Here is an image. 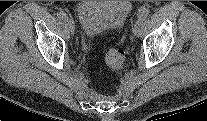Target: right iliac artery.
Wrapping results in <instances>:
<instances>
[{
  "instance_id": "right-iliac-artery-1",
  "label": "right iliac artery",
  "mask_w": 207,
  "mask_h": 121,
  "mask_svg": "<svg viewBox=\"0 0 207 121\" xmlns=\"http://www.w3.org/2000/svg\"><path fill=\"white\" fill-rule=\"evenodd\" d=\"M57 17L60 19V20H64L66 19V13L64 11H59L57 13Z\"/></svg>"
}]
</instances>
